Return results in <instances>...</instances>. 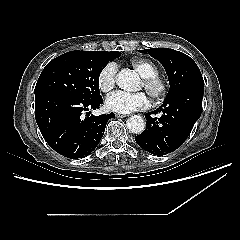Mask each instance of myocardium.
Listing matches in <instances>:
<instances>
[{"mask_svg": "<svg viewBox=\"0 0 240 240\" xmlns=\"http://www.w3.org/2000/svg\"><path fill=\"white\" fill-rule=\"evenodd\" d=\"M142 84L152 100H159L167 93V83L159 75L142 77Z\"/></svg>", "mask_w": 240, "mask_h": 240, "instance_id": "myocardium-1", "label": "myocardium"}]
</instances>
